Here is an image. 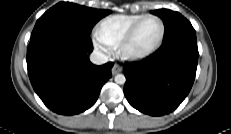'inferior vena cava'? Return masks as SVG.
Wrapping results in <instances>:
<instances>
[{
    "label": "inferior vena cava",
    "instance_id": "1",
    "mask_svg": "<svg viewBox=\"0 0 231 134\" xmlns=\"http://www.w3.org/2000/svg\"><path fill=\"white\" fill-rule=\"evenodd\" d=\"M90 61L95 65H102L108 62V57L99 51H94L90 55Z\"/></svg>",
    "mask_w": 231,
    "mask_h": 134
}]
</instances>
